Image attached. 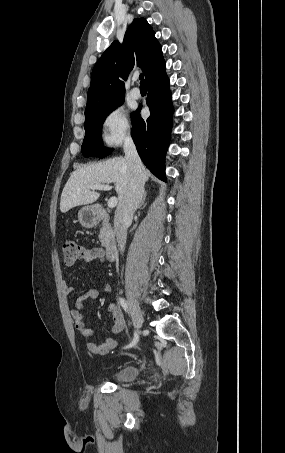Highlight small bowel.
Returning <instances> with one entry per match:
<instances>
[{"label":"small bowel","instance_id":"small-bowel-1","mask_svg":"<svg viewBox=\"0 0 285 453\" xmlns=\"http://www.w3.org/2000/svg\"><path fill=\"white\" fill-rule=\"evenodd\" d=\"M81 258L86 261H94V260H99L101 262L104 261L105 254L104 250L101 248H84L82 251V256ZM74 288L71 285H66L65 286V292L67 294H71L73 292ZM110 291L109 285H105L103 292L107 293ZM101 292L96 290V289H90L87 291L85 294L79 296L76 299L75 302V308L71 310V317L74 323V328L76 331H78L84 340V345L86 349L93 353V354H98V355H105L109 353L112 349H114L117 346V341L113 337H108L105 339L103 342L97 344L91 340L92 337V330L86 325L84 319H83V314L82 310L84 308V302L86 300H96L99 298ZM108 312L111 315L112 321H113V326L111 328V333L113 334H118L123 331L125 328V321L122 316L121 311L117 307L116 304L110 303L107 306Z\"/></svg>","mask_w":285,"mask_h":453}]
</instances>
